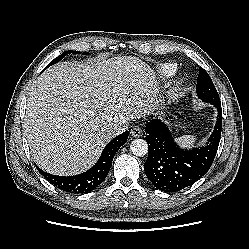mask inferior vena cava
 <instances>
[{"label": "inferior vena cava", "instance_id": "1", "mask_svg": "<svg viewBox=\"0 0 249 249\" xmlns=\"http://www.w3.org/2000/svg\"><path fill=\"white\" fill-rule=\"evenodd\" d=\"M130 122L128 120H122L118 123H115L111 128L112 135L116 136L121 134L122 132L126 131Z\"/></svg>", "mask_w": 249, "mask_h": 249}]
</instances>
